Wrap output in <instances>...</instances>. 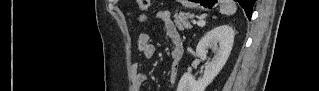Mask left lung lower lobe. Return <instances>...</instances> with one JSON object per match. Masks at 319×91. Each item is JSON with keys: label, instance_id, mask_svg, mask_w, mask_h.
Listing matches in <instances>:
<instances>
[{"label": "left lung lower lobe", "instance_id": "left-lung-lower-lobe-1", "mask_svg": "<svg viewBox=\"0 0 319 91\" xmlns=\"http://www.w3.org/2000/svg\"><path fill=\"white\" fill-rule=\"evenodd\" d=\"M237 1L244 8L247 17L250 20L252 15V7H253V4L255 3V0H237Z\"/></svg>", "mask_w": 319, "mask_h": 91}]
</instances>
